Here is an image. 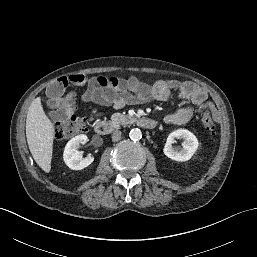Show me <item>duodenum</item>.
<instances>
[{
	"label": "duodenum",
	"mask_w": 257,
	"mask_h": 257,
	"mask_svg": "<svg viewBox=\"0 0 257 257\" xmlns=\"http://www.w3.org/2000/svg\"><path fill=\"white\" fill-rule=\"evenodd\" d=\"M137 124L140 127L145 128V129H153V128H155L157 123L155 120H153L151 118L141 117L137 120ZM112 130H113V125L105 120L99 121L95 126V131L99 135H107V134L111 133Z\"/></svg>",
	"instance_id": "duodenum-1"
}]
</instances>
